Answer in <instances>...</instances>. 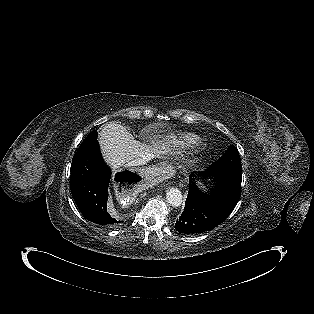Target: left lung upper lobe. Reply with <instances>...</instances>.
Wrapping results in <instances>:
<instances>
[{"instance_id":"1","label":"left lung upper lobe","mask_w":314,"mask_h":314,"mask_svg":"<svg viewBox=\"0 0 314 314\" xmlns=\"http://www.w3.org/2000/svg\"><path fill=\"white\" fill-rule=\"evenodd\" d=\"M209 169L211 170H225L241 171V160L239 153L234 146H230L222 157H220L215 163H213Z\"/></svg>"}]
</instances>
